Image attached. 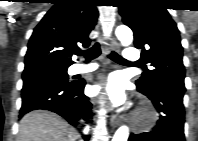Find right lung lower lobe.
<instances>
[{
	"instance_id": "right-lung-lower-lobe-1",
	"label": "right lung lower lobe",
	"mask_w": 198,
	"mask_h": 141,
	"mask_svg": "<svg viewBox=\"0 0 198 141\" xmlns=\"http://www.w3.org/2000/svg\"><path fill=\"white\" fill-rule=\"evenodd\" d=\"M85 81L64 82L55 78H39L23 82L21 118L37 109L49 110L76 125L80 119L89 120L91 104L84 95ZM88 140L89 136H83Z\"/></svg>"
}]
</instances>
